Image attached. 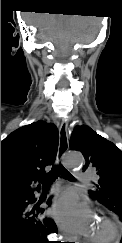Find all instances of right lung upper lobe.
Masks as SVG:
<instances>
[{
  "label": "right lung upper lobe",
  "mask_w": 122,
  "mask_h": 243,
  "mask_svg": "<svg viewBox=\"0 0 122 243\" xmlns=\"http://www.w3.org/2000/svg\"><path fill=\"white\" fill-rule=\"evenodd\" d=\"M58 130L42 120L23 126L1 142V200L33 191L34 180L55 159Z\"/></svg>",
  "instance_id": "1"
}]
</instances>
